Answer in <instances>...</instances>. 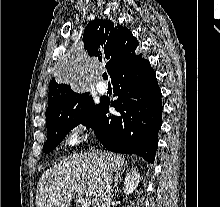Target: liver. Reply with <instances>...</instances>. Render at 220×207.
I'll use <instances>...</instances> for the list:
<instances>
[{
  "mask_svg": "<svg viewBox=\"0 0 220 207\" xmlns=\"http://www.w3.org/2000/svg\"><path fill=\"white\" fill-rule=\"evenodd\" d=\"M125 164L121 155L112 152H81L64 158L39 179L36 205L70 207L75 196L95 195L102 167L112 173L121 171Z\"/></svg>",
  "mask_w": 220,
  "mask_h": 207,
  "instance_id": "6515ba94",
  "label": "liver"
}]
</instances>
